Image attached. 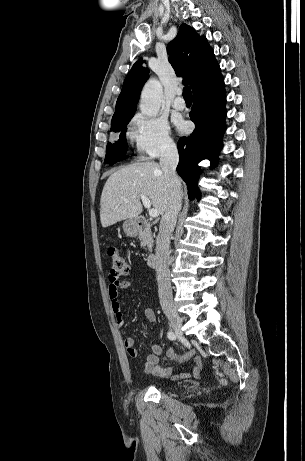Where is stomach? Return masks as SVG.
<instances>
[{"instance_id": "obj_1", "label": "stomach", "mask_w": 305, "mask_h": 461, "mask_svg": "<svg viewBox=\"0 0 305 461\" xmlns=\"http://www.w3.org/2000/svg\"><path fill=\"white\" fill-rule=\"evenodd\" d=\"M123 231L126 234V236H129V237H135L140 232L136 222L132 219L126 220L123 223Z\"/></svg>"}]
</instances>
